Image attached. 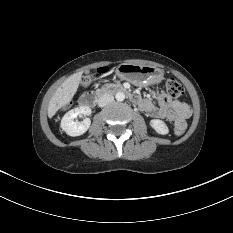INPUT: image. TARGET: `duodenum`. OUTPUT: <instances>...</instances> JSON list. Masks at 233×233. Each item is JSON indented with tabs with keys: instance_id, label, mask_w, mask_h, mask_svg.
Wrapping results in <instances>:
<instances>
[{
	"instance_id": "duodenum-1",
	"label": "duodenum",
	"mask_w": 233,
	"mask_h": 233,
	"mask_svg": "<svg viewBox=\"0 0 233 233\" xmlns=\"http://www.w3.org/2000/svg\"><path fill=\"white\" fill-rule=\"evenodd\" d=\"M117 92H123L129 95L130 99L134 102V103H138L139 102V97L130 94L125 88L119 86V85H110L108 87H106L103 91L101 92H89V93H85L80 97V104L82 106H86V107H91L94 106L96 104V102L98 101V99L105 94H109V93H117Z\"/></svg>"
}]
</instances>
